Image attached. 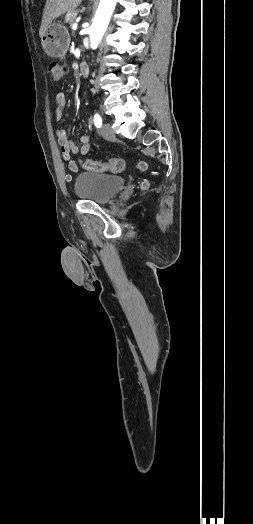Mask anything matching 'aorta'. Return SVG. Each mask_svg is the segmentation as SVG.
I'll use <instances>...</instances> for the list:
<instances>
[{"instance_id": "762f6f07", "label": "aorta", "mask_w": 253, "mask_h": 524, "mask_svg": "<svg viewBox=\"0 0 253 524\" xmlns=\"http://www.w3.org/2000/svg\"><path fill=\"white\" fill-rule=\"evenodd\" d=\"M117 0H100L92 25L89 28L91 46H97L101 41L115 9Z\"/></svg>"}]
</instances>
